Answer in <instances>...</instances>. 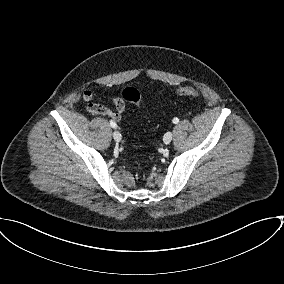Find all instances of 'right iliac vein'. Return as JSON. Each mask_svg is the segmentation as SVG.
Instances as JSON below:
<instances>
[{
	"label": "right iliac vein",
	"mask_w": 284,
	"mask_h": 284,
	"mask_svg": "<svg viewBox=\"0 0 284 284\" xmlns=\"http://www.w3.org/2000/svg\"><path fill=\"white\" fill-rule=\"evenodd\" d=\"M113 138L116 142H120L121 141V134L118 131H114L113 132Z\"/></svg>",
	"instance_id": "obj_1"
}]
</instances>
